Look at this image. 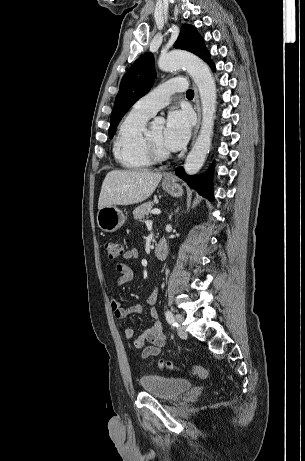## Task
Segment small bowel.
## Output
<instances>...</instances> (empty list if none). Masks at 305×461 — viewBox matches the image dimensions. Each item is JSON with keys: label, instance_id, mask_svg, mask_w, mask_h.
Instances as JSON below:
<instances>
[{"label": "small bowel", "instance_id": "small-bowel-1", "mask_svg": "<svg viewBox=\"0 0 305 461\" xmlns=\"http://www.w3.org/2000/svg\"><path fill=\"white\" fill-rule=\"evenodd\" d=\"M126 260H135L138 258V250L131 248L125 251L123 255ZM116 270L120 274L117 278L113 290L121 287L122 285L130 282L133 279V272L131 268L125 263H117ZM158 298V290L154 289L147 298V306L149 309V316L152 320L150 328L144 330L133 341V345L137 349H142L141 358L147 359L152 356H158L162 349L165 347L167 338L163 331L162 324L158 318L155 304ZM110 307L113 315L117 319H124L130 315L140 314L143 311L141 304H134L130 307H123L115 297L110 299ZM134 330L131 327L124 328V336L127 339L134 337Z\"/></svg>", "mask_w": 305, "mask_h": 461}]
</instances>
